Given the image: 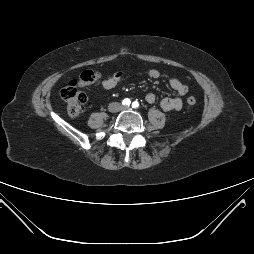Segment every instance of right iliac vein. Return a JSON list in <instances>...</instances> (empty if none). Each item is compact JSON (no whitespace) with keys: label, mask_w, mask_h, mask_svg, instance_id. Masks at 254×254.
<instances>
[{"label":"right iliac vein","mask_w":254,"mask_h":254,"mask_svg":"<svg viewBox=\"0 0 254 254\" xmlns=\"http://www.w3.org/2000/svg\"><path fill=\"white\" fill-rule=\"evenodd\" d=\"M118 109H119V105L116 104V103H113V104H111V105L109 106V110H110L111 112H116V111H118Z\"/></svg>","instance_id":"right-iliac-vein-1"}]
</instances>
